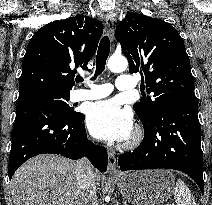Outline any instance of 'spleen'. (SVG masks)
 <instances>
[{
  "instance_id": "obj_1",
  "label": "spleen",
  "mask_w": 212,
  "mask_h": 205,
  "mask_svg": "<svg viewBox=\"0 0 212 205\" xmlns=\"http://www.w3.org/2000/svg\"><path fill=\"white\" fill-rule=\"evenodd\" d=\"M174 199L176 205H197L191 191L181 179L176 182Z\"/></svg>"
}]
</instances>
